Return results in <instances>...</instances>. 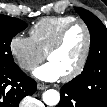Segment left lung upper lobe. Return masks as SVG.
Instances as JSON below:
<instances>
[{
    "instance_id": "5c2ea615",
    "label": "left lung upper lobe",
    "mask_w": 107,
    "mask_h": 107,
    "mask_svg": "<svg viewBox=\"0 0 107 107\" xmlns=\"http://www.w3.org/2000/svg\"><path fill=\"white\" fill-rule=\"evenodd\" d=\"M76 12L79 13L89 28L91 47L83 72L72 81L89 86V81L100 70L105 68L107 73V29L91 12L83 8H76Z\"/></svg>"
}]
</instances>
